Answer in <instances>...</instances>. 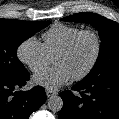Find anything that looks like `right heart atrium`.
<instances>
[{"label": "right heart atrium", "mask_w": 119, "mask_h": 119, "mask_svg": "<svg viewBox=\"0 0 119 119\" xmlns=\"http://www.w3.org/2000/svg\"><path fill=\"white\" fill-rule=\"evenodd\" d=\"M17 57L32 72L42 70L51 61L43 44L34 37L27 38L20 43L17 48Z\"/></svg>", "instance_id": "obj_1"}]
</instances>
